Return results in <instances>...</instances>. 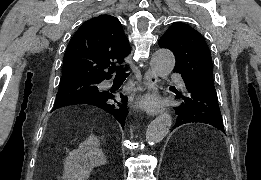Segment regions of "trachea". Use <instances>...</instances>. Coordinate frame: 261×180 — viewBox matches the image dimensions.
I'll list each match as a JSON object with an SVG mask.
<instances>
[{"instance_id":"trachea-1","label":"trachea","mask_w":261,"mask_h":180,"mask_svg":"<svg viewBox=\"0 0 261 180\" xmlns=\"http://www.w3.org/2000/svg\"><path fill=\"white\" fill-rule=\"evenodd\" d=\"M127 77H129V73H125L123 70H122V66L119 67L117 69V72H116V75H115V79H126Z\"/></svg>"}]
</instances>
